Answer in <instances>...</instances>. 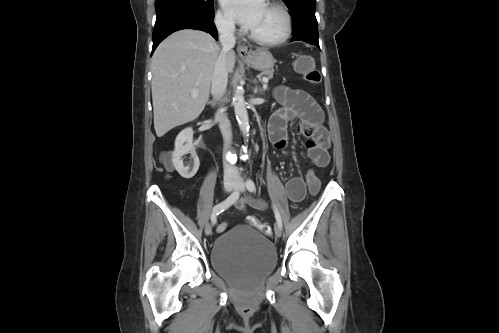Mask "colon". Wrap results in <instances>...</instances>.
Returning <instances> with one entry per match:
<instances>
[{
    "instance_id": "colon-1",
    "label": "colon",
    "mask_w": 499,
    "mask_h": 333,
    "mask_svg": "<svg viewBox=\"0 0 499 333\" xmlns=\"http://www.w3.org/2000/svg\"><path fill=\"white\" fill-rule=\"evenodd\" d=\"M295 69L299 73L303 74L305 79L309 83H311L313 85H318L321 82L320 72L315 68V65H314L312 58H310L308 56H304V57L299 58L295 63ZM163 163L168 171H170L172 169L171 157L168 154L164 156ZM305 181H306V185H307L309 192L312 195L317 194L319 189H320V180H319L314 169L311 168L307 171L306 176H305ZM248 221L255 228H257L259 231H261L265 235L271 234L270 226L261 222L256 217L249 216Z\"/></svg>"
}]
</instances>
